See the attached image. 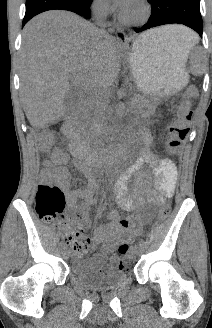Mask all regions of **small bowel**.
<instances>
[{
  "label": "small bowel",
  "mask_w": 212,
  "mask_h": 328,
  "mask_svg": "<svg viewBox=\"0 0 212 328\" xmlns=\"http://www.w3.org/2000/svg\"><path fill=\"white\" fill-rule=\"evenodd\" d=\"M142 137L148 143L147 134L142 133ZM144 164L151 166L160 179V194L148 191L149 176L140 171ZM71 165L80 166L79 162L72 161L65 151L56 148L43 162L44 175L56 181L63 190L72 221L82 228H88L92 191L71 189L67 170V166ZM131 177H134V188L133 192L129 193L128 182ZM176 183L175 164L166 157L153 154L148 148L143 149L141 156L120 176L114 190L117 205L131 214L123 217L117 211L110 210L107 214L109 223L99 225L94 230L93 239H87V248L83 252L75 253V256L82 257L92 244L100 246V251L88 259L90 269L98 273L115 270L119 263L118 257L112 256L111 261H108V258L113 254L117 244L121 241H131L141 234L143 226L152 216L154 207L163 204L166 198L173 195ZM80 200H83L81 205L78 204Z\"/></svg>",
  "instance_id": "small-bowel-1"
}]
</instances>
